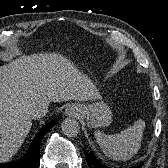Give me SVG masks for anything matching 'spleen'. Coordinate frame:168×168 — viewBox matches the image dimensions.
<instances>
[{"instance_id":"3e777b00","label":"spleen","mask_w":168,"mask_h":168,"mask_svg":"<svg viewBox=\"0 0 168 168\" xmlns=\"http://www.w3.org/2000/svg\"><path fill=\"white\" fill-rule=\"evenodd\" d=\"M144 128L145 122L137 120L133 126L118 134L106 135L96 131L95 138L105 155L116 161H125L133 157L140 149Z\"/></svg>"}]
</instances>
